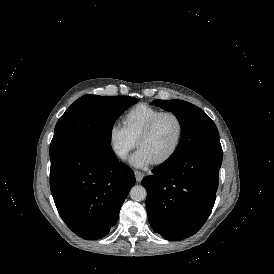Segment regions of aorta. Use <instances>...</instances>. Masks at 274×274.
<instances>
[{"label":"aorta","mask_w":274,"mask_h":274,"mask_svg":"<svg viewBox=\"0 0 274 274\" xmlns=\"http://www.w3.org/2000/svg\"><path fill=\"white\" fill-rule=\"evenodd\" d=\"M129 194L134 201H143L147 197V191L142 185L133 186Z\"/></svg>","instance_id":"obj_1"}]
</instances>
